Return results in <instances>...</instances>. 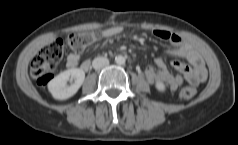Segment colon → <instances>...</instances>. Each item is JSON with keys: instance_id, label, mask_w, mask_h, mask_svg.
Listing matches in <instances>:
<instances>
[{"instance_id": "obj_1", "label": "colon", "mask_w": 238, "mask_h": 145, "mask_svg": "<svg viewBox=\"0 0 238 145\" xmlns=\"http://www.w3.org/2000/svg\"><path fill=\"white\" fill-rule=\"evenodd\" d=\"M98 35L94 31L72 33L65 39H56L44 46L33 58L30 65V74L40 86L47 85L53 78L54 71L68 47L75 52L83 51L87 46L96 41ZM196 94L193 87L183 88L179 96L187 100Z\"/></svg>"}]
</instances>
